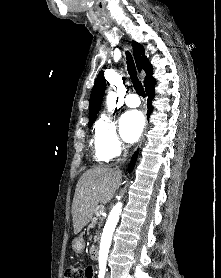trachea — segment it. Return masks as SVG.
Masks as SVG:
<instances>
[{"label":"trachea","mask_w":221,"mask_h":278,"mask_svg":"<svg viewBox=\"0 0 221 278\" xmlns=\"http://www.w3.org/2000/svg\"><path fill=\"white\" fill-rule=\"evenodd\" d=\"M126 59H127L128 73L132 80L134 89L136 90V92L139 96L146 97L142 83L139 81V79L137 77V72H136L134 61H133V57L128 51L126 52Z\"/></svg>","instance_id":"1"}]
</instances>
